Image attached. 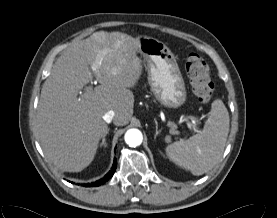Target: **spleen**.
<instances>
[{
  "label": "spleen",
  "mask_w": 277,
  "mask_h": 218,
  "mask_svg": "<svg viewBox=\"0 0 277 218\" xmlns=\"http://www.w3.org/2000/svg\"><path fill=\"white\" fill-rule=\"evenodd\" d=\"M229 113L220 99L213 101L203 130L185 141H177L166 147L170 160L202 175L211 170L221 158L229 133Z\"/></svg>",
  "instance_id": "1"
}]
</instances>
